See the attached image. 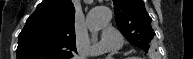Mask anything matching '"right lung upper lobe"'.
Here are the masks:
<instances>
[{"label": "right lung upper lobe", "instance_id": "right-lung-upper-lobe-1", "mask_svg": "<svg viewBox=\"0 0 193 59\" xmlns=\"http://www.w3.org/2000/svg\"><path fill=\"white\" fill-rule=\"evenodd\" d=\"M71 0H44L19 34L17 59H69L77 52Z\"/></svg>", "mask_w": 193, "mask_h": 59}]
</instances>
